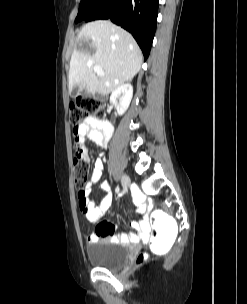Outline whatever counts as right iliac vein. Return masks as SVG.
<instances>
[{"label": "right iliac vein", "instance_id": "63e3f726", "mask_svg": "<svg viewBox=\"0 0 247 304\" xmlns=\"http://www.w3.org/2000/svg\"><path fill=\"white\" fill-rule=\"evenodd\" d=\"M121 184L124 189H127L130 186V178L127 175H123L121 178Z\"/></svg>", "mask_w": 247, "mask_h": 304}]
</instances>
